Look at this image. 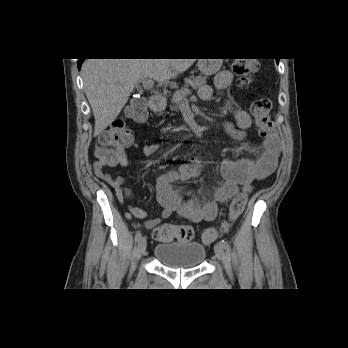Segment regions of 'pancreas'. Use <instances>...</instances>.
Here are the masks:
<instances>
[{
    "instance_id": "obj_1",
    "label": "pancreas",
    "mask_w": 348,
    "mask_h": 348,
    "mask_svg": "<svg viewBox=\"0 0 348 348\" xmlns=\"http://www.w3.org/2000/svg\"><path fill=\"white\" fill-rule=\"evenodd\" d=\"M207 83V78L205 76H190L185 79V84L181 89H178L174 92L173 97L171 99L170 110L178 111L181 109L182 103L185 102V96L183 93L186 92L188 86H191L193 89H198L199 87L205 85Z\"/></svg>"
}]
</instances>
